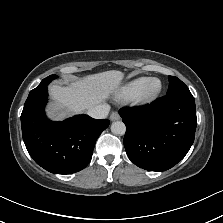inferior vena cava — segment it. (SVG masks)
Wrapping results in <instances>:
<instances>
[{"label": "inferior vena cava", "mask_w": 223, "mask_h": 223, "mask_svg": "<svg viewBox=\"0 0 223 223\" xmlns=\"http://www.w3.org/2000/svg\"><path fill=\"white\" fill-rule=\"evenodd\" d=\"M110 110L108 104H100L88 109L87 114L96 119L106 118Z\"/></svg>", "instance_id": "602c4592"}]
</instances>
